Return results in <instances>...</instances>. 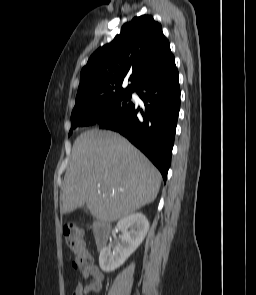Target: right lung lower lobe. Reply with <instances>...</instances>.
<instances>
[{
	"mask_svg": "<svg viewBox=\"0 0 256 295\" xmlns=\"http://www.w3.org/2000/svg\"><path fill=\"white\" fill-rule=\"evenodd\" d=\"M178 76L172 56L135 90L144 101V111L132 104L120 115L102 119L99 126L117 131L131 141L159 169L165 182L180 109ZM138 112L142 117L136 116Z\"/></svg>",
	"mask_w": 256,
	"mask_h": 295,
	"instance_id": "98d812e1",
	"label": "right lung lower lobe"
}]
</instances>
